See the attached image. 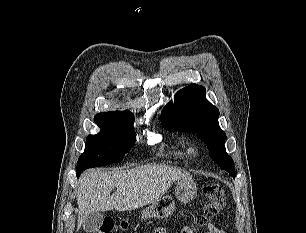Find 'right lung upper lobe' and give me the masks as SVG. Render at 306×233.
Instances as JSON below:
<instances>
[{"mask_svg": "<svg viewBox=\"0 0 306 233\" xmlns=\"http://www.w3.org/2000/svg\"><path fill=\"white\" fill-rule=\"evenodd\" d=\"M100 114H113V115L134 117V115L128 110H126V111L105 112V113H100Z\"/></svg>", "mask_w": 306, "mask_h": 233, "instance_id": "obj_1", "label": "right lung upper lobe"}]
</instances>
